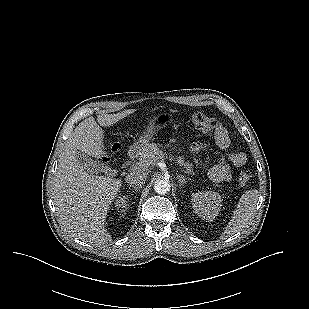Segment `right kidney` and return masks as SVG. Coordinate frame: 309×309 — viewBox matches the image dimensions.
<instances>
[{
    "instance_id": "ca27d5eb",
    "label": "right kidney",
    "mask_w": 309,
    "mask_h": 309,
    "mask_svg": "<svg viewBox=\"0 0 309 309\" xmlns=\"http://www.w3.org/2000/svg\"><path fill=\"white\" fill-rule=\"evenodd\" d=\"M126 197L123 196V197H119L118 199H116L115 201V207L117 210H121V212L124 211V208H126L127 206V201H126Z\"/></svg>"
}]
</instances>
